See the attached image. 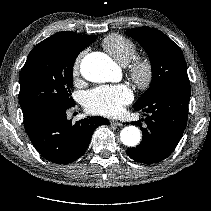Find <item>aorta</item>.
Segmentation results:
<instances>
[{"label":"aorta","mask_w":211,"mask_h":211,"mask_svg":"<svg viewBox=\"0 0 211 211\" xmlns=\"http://www.w3.org/2000/svg\"><path fill=\"white\" fill-rule=\"evenodd\" d=\"M80 70L82 76L91 82H106L114 78L116 67L108 56L90 54L82 60ZM140 138V130L135 126H127L120 133L122 143L129 147L136 146Z\"/></svg>","instance_id":"1"}]
</instances>
